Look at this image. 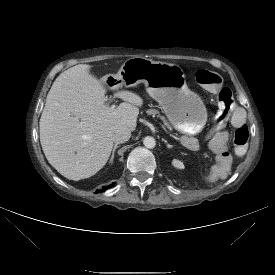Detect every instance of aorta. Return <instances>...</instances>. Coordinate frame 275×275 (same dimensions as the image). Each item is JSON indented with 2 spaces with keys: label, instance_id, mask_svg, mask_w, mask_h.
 Wrapping results in <instances>:
<instances>
[{
  "label": "aorta",
  "instance_id": "aorta-1",
  "mask_svg": "<svg viewBox=\"0 0 275 275\" xmlns=\"http://www.w3.org/2000/svg\"><path fill=\"white\" fill-rule=\"evenodd\" d=\"M143 144L146 148L152 149V148L155 147L156 141L153 137L147 136V137L144 138Z\"/></svg>",
  "mask_w": 275,
  "mask_h": 275
}]
</instances>
